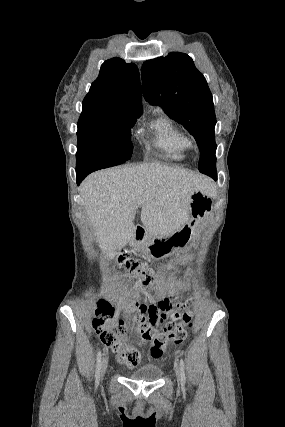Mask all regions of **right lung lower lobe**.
I'll use <instances>...</instances> for the list:
<instances>
[{"instance_id": "1", "label": "right lung lower lobe", "mask_w": 285, "mask_h": 427, "mask_svg": "<svg viewBox=\"0 0 285 427\" xmlns=\"http://www.w3.org/2000/svg\"><path fill=\"white\" fill-rule=\"evenodd\" d=\"M89 173H91V172H88V171H86V172H76V181H77V184L79 185L80 184V182L89 174Z\"/></svg>"}]
</instances>
